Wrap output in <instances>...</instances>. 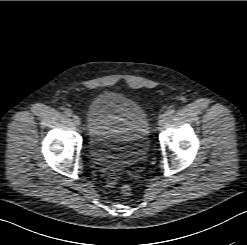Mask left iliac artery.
Here are the masks:
<instances>
[{
	"mask_svg": "<svg viewBox=\"0 0 247 245\" xmlns=\"http://www.w3.org/2000/svg\"><path fill=\"white\" fill-rule=\"evenodd\" d=\"M174 112H175V109L171 107V108H168V110L165 112V115L171 116L174 114Z\"/></svg>",
	"mask_w": 247,
	"mask_h": 245,
	"instance_id": "44dca946",
	"label": "left iliac artery"
}]
</instances>
